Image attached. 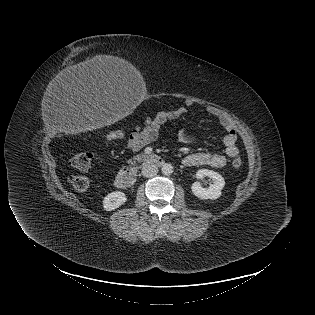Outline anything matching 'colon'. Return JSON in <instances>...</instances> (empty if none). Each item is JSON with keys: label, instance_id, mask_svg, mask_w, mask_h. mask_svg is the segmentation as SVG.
<instances>
[{"label": "colon", "instance_id": "1", "mask_svg": "<svg viewBox=\"0 0 315 315\" xmlns=\"http://www.w3.org/2000/svg\"><path fill=\"white\" fill-rule=\"evenodd\" d=\"M125 137V133L117 130L113 131L109 134L108 138L110 140H118ZM93 160V153L88 150L80 151L79 153L75 154L71 160V166L81 173L73 174L69 177V182L72 187L78 192H86L90 187V180L89 178L82 174V172L87 171L92 163ZM242 160L240 158H235L232 161V166L234 168H239L242 166Z\"/></svg>", "mask_w": 315, "mask_h": 315}]
</instances>
